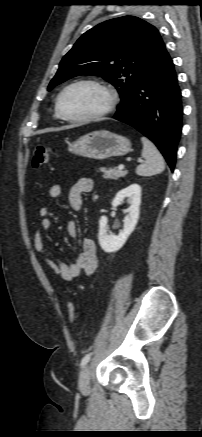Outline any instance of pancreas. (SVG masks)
<instances>
[{
	"mask_svg": "<svg viewBox=\"0 0 202 437\" xmlns=\"http://www.w3.org/2000/svg\"><path fill=\"white\" fill-rule=\"evenodd\" d=\"M100 171L104 173L103 177L108 180H117L120 177H124L127 171H122L117 168H100Z\"/></svg>",
	"mask_w": 202,
	"mask_h": 437,
	"instance_id": "cf45deb5",
	"label": "pancreas"
}]
</instances>
